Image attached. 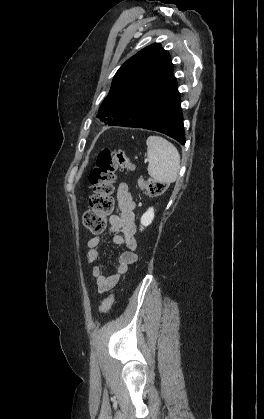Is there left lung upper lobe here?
Here are the masks:
<instances>
[{
    "label": "left lung upper lobe",
    "instance_id": "1",
    "mask_svg": "<svg viewBox=\"0 0 264 419\" xmlns=\"http://www.w3.org/2000/svg\"><path fill=\"white\" fill-rule=\"evenodd\" d=\"M169 78H173V64L168 51L158 43L142 49L117 71L97 117L106 121L122 115L140 100L146 88Z\"/></svg>",
    "mask_w": 264,
    "mask_h": 419
}]
</instances>
